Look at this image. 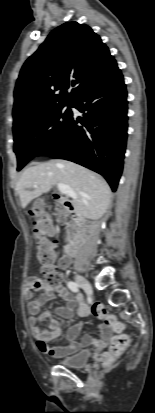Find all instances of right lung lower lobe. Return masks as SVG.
<instances>
[{"mask_svg": "<svg viewBox=\"0 0 155 413\" xmlns=\"http://www.w3.org/2000/svg\"><path fill=\"white\" fill-rule=\"evenodd\" d=\"M126 99L124 79L116 67L79 93L71 105L83 117L72 114L58 138L41 155L83 165L103 175L116 191L127 140Z\"/></svg>", "mask_w": 155, "mask_h": 413, "instance_id": "98d812e1", "label": "right lung lower lobe"}]
</instances>
